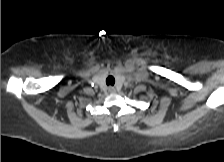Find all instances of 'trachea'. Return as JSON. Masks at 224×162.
I'll return each instance as SVG.
<instances>
[{
	"label": "trachea",
	"instance_id": "obj_1",
	"mask_svg": "<svg viewBox=\"0 0 224 162\" xmlns=\"http://www.w3.org/2000/svg\"><path fill=\"white\" fill-rule=\"evenodd\" d=\"M106 84L113 86L115 84V78L113 76H108L106 79Z\"/></svg>",
	"mask_w": 224,
	"mask_h": 162
}]
</instances>
